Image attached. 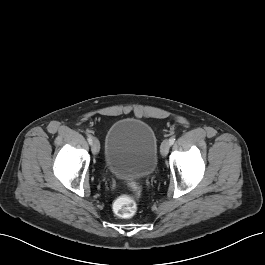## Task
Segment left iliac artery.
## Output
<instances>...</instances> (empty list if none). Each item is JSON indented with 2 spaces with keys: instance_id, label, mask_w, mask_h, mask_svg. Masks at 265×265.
Instances as JSON below:
<instances>
[{
  "instance_id": "1",
  "label": "left iliac artery",
  "mask_w": 265,
  "mask_h": 265,
  "mask_svg": "<svg viewBox=\"0 0 265 265\" xmlns=\"http://www.w3.org/2000/svg\"><path fill=\"white\" fill-rule=\"evenodd\" d=\"M175 137H171L170 139H169V143H170V145H173L174 144V142H175Z\"/></svg>"
}]
</instances>
